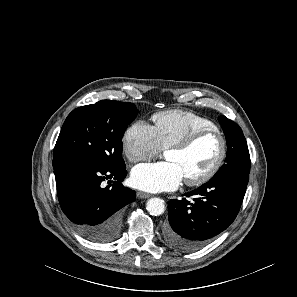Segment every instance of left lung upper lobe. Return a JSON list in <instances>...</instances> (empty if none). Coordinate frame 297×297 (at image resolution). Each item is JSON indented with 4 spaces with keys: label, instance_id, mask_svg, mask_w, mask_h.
Returning <instances> with one entry per match:
<instances>
[{
    "label": "left lung upper lobe",
    "instance_id": "1",
    "mask_svg": "<svg viewBox=\"0 0 297 297\" xmlns=\"http://www.w3.org/2000/svg\"><path fill=\"white\" fill-rule=\"evenodd\" d=\"M226 141L227 156L225 164L214 177L236 176L247 177L250 173V155L247 143L241 128L234 121L220 116Z\"/></svg>",
    "mask_w": 297,
    "mask_h": 297
}]
</instances>
